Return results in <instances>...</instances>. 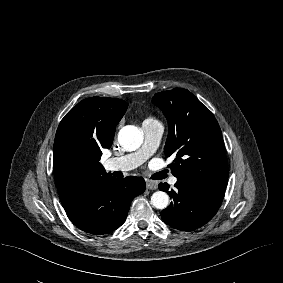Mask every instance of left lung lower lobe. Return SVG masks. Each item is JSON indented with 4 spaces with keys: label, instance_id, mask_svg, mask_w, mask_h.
Listing matches in <instances>:
<instances>
[{
    "label": "left lung lower lobe",
    "instance_id": "left-lung-lower-lobe-1",
    "mask_svg": "<svg viewBox=\"0 0 283 283\" xmlns=\"http://www.w3.org/2000/svg\"><path fill=\"white\" fill-rule=\"evenodd\" d=\"M158 187L173 199L161 212L163 221L181 231H192L209 222L224 198V192L209 190L179 178L175 190L169 191L167 183H160Z\"/></svg>",
    "mask_w": 283,
    "mask_h": 283
}]
</instances>
